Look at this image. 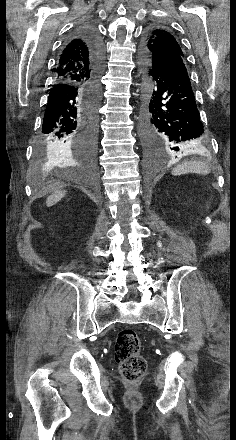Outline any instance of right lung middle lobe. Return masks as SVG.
Listing matches in <instances>:
<instances>
[{"label":"right lung middle lobe","instance_id":"right-lung-middle-lobe-1","mask_svg":"<svg viewBox=\"0 0 236 440\" xmlns=\"http://www.w3.org/2000/svg\"><path fill=\"white\" fill-rule=\"evenodd\" d=\"M91 94H94V91L91 89ZM98 97L100 98V88H99V95H98ZM48 159V154H47V151H45L44 149H40L38 152H37V155H36V161L38 162V163H43V162H45L46 160Z\"/></svg>","mask_w":236,"mask_h":440}]
</instances>
